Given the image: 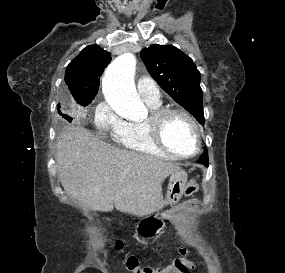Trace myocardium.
I'll return each instance as SVG.
<instances>
[{"instance_id":"1","label":"myocardium","mask_w":285,"mask_h":273,"mask_svg":"<svg viewBox=\"0 0 285 273\" xmlns=\"http://www.w3.org/2000/svg\"><path fill=\"white\" fill-rule=\"evenodd\" d=\"M173 114H179L184 116L186 119L189 120V122L192 124L195 130L196 134V148L193 153L189 155H183L174 152L171 150L166 143L164 142L162 130L165 121L167 118ZM145 124L147 126L148 132L152 138V140L155 142V144L162 149L167 154L179 158V159H190L199 154L202 148V129L199 124V122L196 120V118L187 110L179 107H166V108H160L157 110L152 111L148 119L145 121Z\"/></svg>"}]
</instances>
